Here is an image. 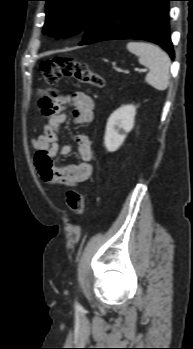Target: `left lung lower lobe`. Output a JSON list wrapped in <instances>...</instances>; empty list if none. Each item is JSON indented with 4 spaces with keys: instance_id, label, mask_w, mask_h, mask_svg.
Instances as JSON below:
<instances>
[{
    "instance_id": "left-lung-lower-lobe-1",
    "label": "left lung lower lobe",
    "mask_w": 193,
    "mask_h": 349,
    "mask_svg": "<svg viewBox=\"0 0 193 349\" xmlns=\"http://www.w3.org/2000/svg\"><path fill=\"white\" fill-rule=\"evenodd\" d=\"M171 0H107L85 29L80 45L104 40L142 39L162 46L174 58L169 33Z\"/></svg>"
}]
</instances>
